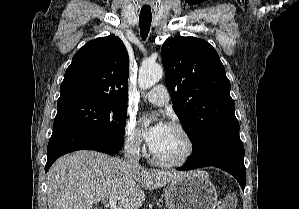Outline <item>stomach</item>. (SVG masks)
Instances as JSON below:
<instances>
[{"instance_id": "stomach-1", "label": "stomach", "mask_w": 299, "mask_h": 209, "mask_svg": "<svg viewBox=\"0 0 299 209\" xmlns=\"http://www.w3.org/2000/svg\"><path fill=\"white\" fill-rule=\"evenodd\" d=\"M168 209H215L217 191L206 172H188L174 180L165 191Z\"/></svg>"}]
</instances>
